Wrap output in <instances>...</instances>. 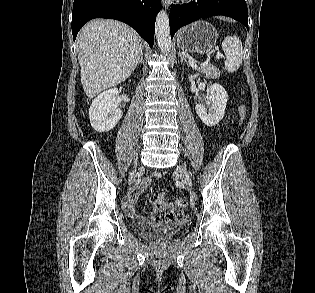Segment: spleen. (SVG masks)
Segmentation results:
<instances>
[{
	"mask_svg": "<svg viewBox=\"0 0 315 293\" xmlns=\"http://www.w3.org/2000/svg\"><path fill=\"white\" fill-rule=\"evenodd\" d=\"M222 49L225 53V69L228 72H235L242 64L243 47L240 38L236 35L225 37L222 42Z\"/></svg>",
	"mask_w": 315,
	"mask_h": 293,
	"instance_id": "3e777b00",
	"label": "spleen"
}]
</instances>
